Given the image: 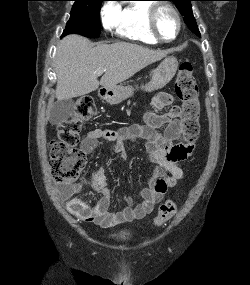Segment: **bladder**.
I'll use <instances>...</instances> for the list:
<instances>
[{
	"instance_id": "bladder-1",
	"label": "bladder",
	"mask_w": 250,
	"mask_h": 285,
	"mask_svg": "<svg viewBox=\"0 0 250 285\" xmlns=\"http://www.w3.org/2000/svg\"><path fill=\"white\" fill-rule=\"evenodd\" d=\"M130 234H131L130 230L124 228V229H120V230L116 231L113 234V236L115 239L123 241V240L128 239Z\"/></svg>"
}]
</instances>
